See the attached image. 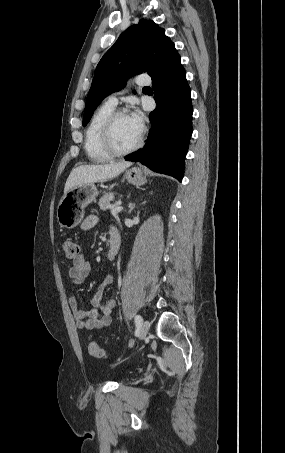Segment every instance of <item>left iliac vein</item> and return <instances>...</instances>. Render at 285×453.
<instances>
[{
    "instance_id": "left-iliac-vein-1",
    "label": "left iliac vein",
    "mask_w": 285,
    "mask_h": 453,
    "mask_svg": "<svg viewBox=\"0 0 285 453\" xmlns=\"http://www.w3.org/2000/svg\"><path fill=\"white\" fill-rule=\"evenodd\" d=\"M150 323L148 320H145L140 327V338L143 339L149 332Z\"/></svg>"
}]
</instances>
